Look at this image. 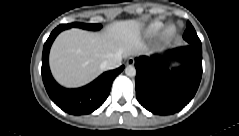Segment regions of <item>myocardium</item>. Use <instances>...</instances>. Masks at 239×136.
<instances>
[{
	"label": "myocardium",
	"mask_w": 239,
	"mask_h": 136,
	"mask_svg": "<svg viewBox=\"0 0 239 136\" xmlns=\"http://www.w3.org/2000/svg\"><path fill=\"white\" fill-rule=\"evenodd\" d=\"M174 33V30L171 26L167 27L164 31H163V35L164 36H168Z\"/></svg>",
	"instance_id": "f54148a6"
}]
</instances>
